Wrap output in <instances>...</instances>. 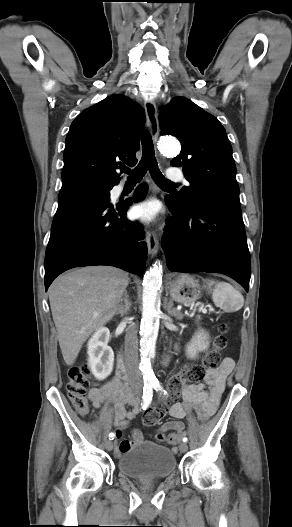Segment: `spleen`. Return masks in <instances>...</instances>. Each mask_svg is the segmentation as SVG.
I'll list each match as a JSON object with an SVG mask.
<instances>
[{
    "mask_svg": "<svg viewBox=\"0 0 292 527\" xmlns=\"http://www.w3.org/2000/svg\"><path fill=\"white\" fill-rule=\"evenodd\" d=\"M207 284L208 289L215 284V288L212 292V299L217 307L228 312L238 311L243 307V296L229 283L208 280Z\"/></svg>",
    "mask_w": 292,
    "mask_h": 527,
    "instance_id": "spleen-1",
    "label": "spleen"
}]
</instances>
